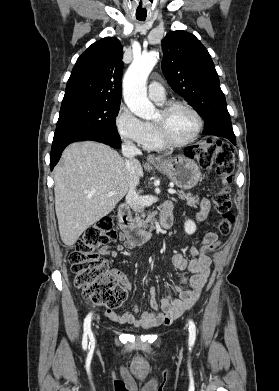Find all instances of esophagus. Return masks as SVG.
Instances as JSON below:
<instances>
[{"instance_id": "obj_1", "label": "esophagus", "mask_w": 279, "mask_h": 391, "mask_svg": "<svg viewBox=\"0 0 279 391\" xmlns=\"http://www.w3.org/2000/svg\"><path fill=\"white\" fill-rule=\"evenodd\" d=\"M146 160L148 162H157L159 159L157 157H155L154 155H148Z\"/></svg>"}]
</instances>
